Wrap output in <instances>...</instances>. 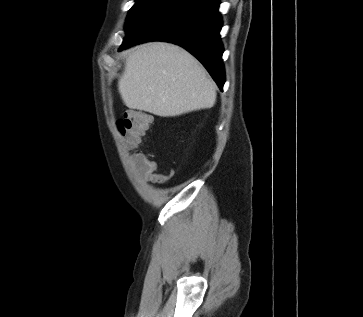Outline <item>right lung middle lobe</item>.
Returning a JSON list of instances; mask_svg holds the SVG:
<instances>
[{
  "label": "right lung middle lobe",
  "instance_id": "1",
  "mask_svg": "<svg viewBox=\"0 0 363 317\" xmlns=\"http://www.w3.org/2000/svg\"><path fill=\"white\" fill-rule=\"evenodd\" d=\"M126 20L123 42L132 40L154 18L182 0H135Z\"/></svg>",
  "mask_w": 363,
  "mask_h": 317
}]
</instances>
